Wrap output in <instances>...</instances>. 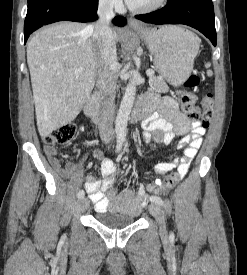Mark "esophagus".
I'll return each instance as SVG.
<instances>
[{
	"label": "esophagus",
	"mask_w": 247,
	"mask_h": 275,
	"mask_svg": "<svg viewBox=\"0 0 247 275\" xmlns=\"http://www.w3.org/2000/svg\"><path fill=\"white\" fill-rule=\"evenodd\" d=\"M128 24H129L130 27H139V28L144 27L142 23H140L139 21H137L134 18H129L128 19Z\"/></svg>",
	"instance_id": "esophagus-1"
}]
</instances>
